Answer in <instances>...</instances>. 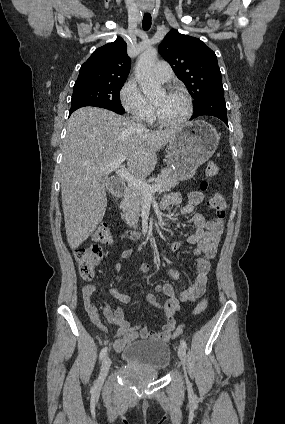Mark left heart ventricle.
I'll return each mask as SVG.
<instances>
[{"label":"left heart ventricle","instance_id":"b2bd125f","mask_svg":"<svg viewBox=\"0 0 285 424\" xmlns=\"http://www.w3.org/2000/svg\"><path fill=\"white\" fill-rule=\"evenodd\" d=\"M153 103L157 106L161 116L167 121H178L187 112L185 99L177 94H167L162 91L153 99Z\"/></svg>","mask_w":285,"mask_h":424}]
</instances>
